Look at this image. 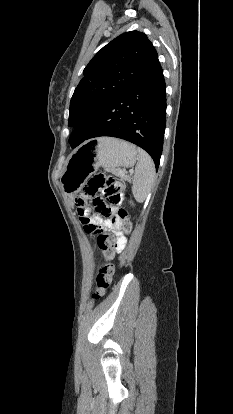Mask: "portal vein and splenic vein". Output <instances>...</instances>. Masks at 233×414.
I'll return each instance as SVG.
<instances>
[{"instance_id": "portal-vein-and-splenic-vein-1", "label": "portal vein and splenic vein", "mask_w": 233, "mask_h": 414, "mask_svg": "<svg viewBox=\"0 0 233 414\" xmlns=\"http://www.w3.org/2000/svg\"><path fill=\"white\" fill-rule=\"evenodd\" d=\"M121 172H123V171H121ZM134 171L133 170H130V173H133Z\"/></svg>"}]
</instances>
